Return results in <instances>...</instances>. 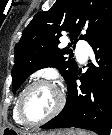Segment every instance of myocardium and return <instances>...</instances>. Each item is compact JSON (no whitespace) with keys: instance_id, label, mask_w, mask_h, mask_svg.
I'll return each instance as SVG.
<instances>
[{"instance_id":"f54148a6","label":"myocardium","mask_w":112,"mask_h":135,"mask_svg":"<svg viewBox=\"0 0 112 135\" xmlns=\"http://www.w3.org/2000/svg\"><path fill=\"white\" fill-rule=\"evenodd\" d=\"M38 85H49L55 88L59 96V101H58L57 106L54 108V110L51 113H49L48 115L42 118L33 119L29 117L25 111V98L27 94L29 93V91ZM64 104H65V95L63 91L53 81L49 79H37L31 82L29 85H27L23 89V91L20 93L19 98H18V104H17V113L20 120L23 123H25L26 125L35 126V125L45 123L53 119L54 117H56L63 109Z\"/></svg>"}]
</instances>
